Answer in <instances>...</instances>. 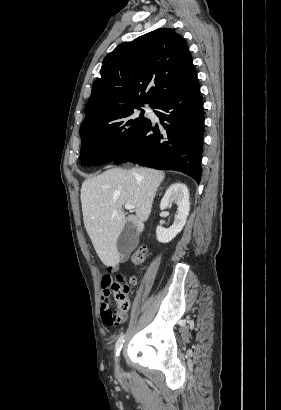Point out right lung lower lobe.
I'll list each match as a JSON object with an SVG mask.
<instances>
[{"label": "right lung lower lobe", "mask_w": 281, "mask_h": 410, "mask_svg": "<svg viewBox=\"0 0 281 410\" xmlns=\"http://www.w3.org/2000/svg\"><path fill=\"white\" fill-rule=\"evenodd\" d=\"M161 125L146 124L141 133L113 161L177 170L201 179L204 133V109L199 82L191 87L160 98L153 106Z\"/></svg>", "instance_id": "98d812e1"}]
</instances>
